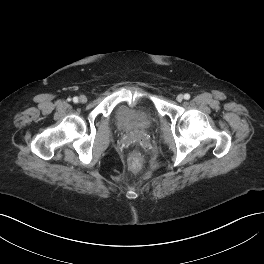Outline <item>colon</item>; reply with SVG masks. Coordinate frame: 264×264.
Wrapping results in <instances>:
<instances>
[{
  "mask_svg": "<svg viewBox=\"0 0 264 264\" xmlns=\"http://www.w3.org/2000/svg\"><path fill=\"white\" fill-rule=\"evenodd\" d=\"M138 166H139L138 161H136V162L133 164V168H134V169H138Z\"/></svg>",
  "mask_w": 264,
  "mask_h": 264,
  "instance_id": "1",
  "label": "colon"
}]
</instances>
